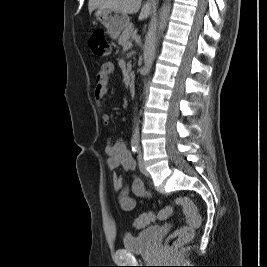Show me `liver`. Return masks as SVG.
Wrapping results in <instances>:
<instances>
[{
  "label": "liver",
  "mask_w": 267,
  "mask_h": 267,
  "mask_svg": "<svg viewBox=\"0 0 267 267\" xmlns=\"http://www.w3.org/2000/svg\"><path fill=\"white\" fill-rule=\"evenodd\" d=\"M142 0H89V13L97 8H105L124 15L136 14L140 11L139 20H144L152 13V4L147 2L141 8Z\"/></svg>",
  "instance_id": "1"
}]
</instances>
